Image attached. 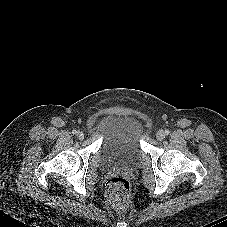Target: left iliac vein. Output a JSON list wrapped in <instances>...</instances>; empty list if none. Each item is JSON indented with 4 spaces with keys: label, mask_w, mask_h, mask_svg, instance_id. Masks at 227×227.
Wrapping results in <instances>:
<instances>
[{
    "label": "left iliac vein",
    "mask_w": 227,
    "mask_h": 227,
    "mask_svg": "<svg viewBox=\"0 0 227 227\" xmlns=\"http://www.w3.org/2000/svg\"><path fill=\"white\" fill-rule=\"evenodd\" d=\"M166 134L163 130H159L157 133H156V138L157 140L161 141L165 138Z\"/></svg>",
    "instance_id": "left-iliac-vein-1"
}]
</instances>
